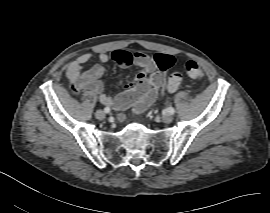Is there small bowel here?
Returning a JSON list of instances; mask_svg holds the SVG:
<instances>
[{
    "label": "small bowel",
    "instance_id": "1",
    "mask_svg": "<svg viewBox=\"0 0 270 213\" xmlns=\"http://www.w3.org/2000/svg\"><path fill=\"white\" fill-rule=\"evenodd\" d=\"M171 64L168 67H164L158 61L145 56L142 53H138L133 56L131 63L144 70V75L139 76L135 87L132 89L138 92L139 97L135 102H127L124 97L117 96L111 97L103 93V82L101 76L104 73V68L101 65H95L89 70H84V65L91 59L90 53H83L76 59L72 60L67 69V76L71 82V85L76 90L90 91L99 94L101 103L104 105L115 108L116 110L124 109L129 103H134L135 113L144 112L156 99L160 87L164 83V75L157 70H167L174 65V58L170 55ZM97 59L101 64L108 63L111 59L110 54L100 51L97 53ZM115 60V59H114ZM118 62L117 60H115ZM120 67H126L128 63L118 62ZM121 87L131 88V85L120 84Z\"/></svg>",
    "mask_w": 270,
    "mask_h": 213
}]
</instances>
